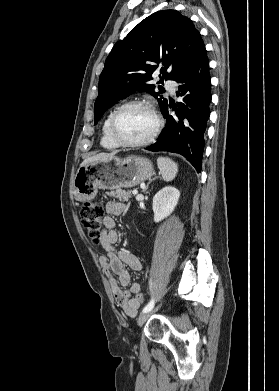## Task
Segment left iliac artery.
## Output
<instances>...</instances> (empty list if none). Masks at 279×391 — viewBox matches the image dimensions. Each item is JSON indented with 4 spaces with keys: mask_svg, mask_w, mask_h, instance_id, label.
<instances>
[{
    "mask_svg": "<svg viewBox=\"0 0 279 391\" xmlns=\"http://www.w3.org/2000/svg\"><path fill=\"white\" fill-rule=\"evenodd\" d=\"M154 307V299H151V301L143 308L142 312H148Z\"/></svg>",
    "mask_w": 279,
    "mask_h": 391,
    "instance_id": "left-iliac-artery-1",
    "label": "left iliac artery"
}]
</instances>
